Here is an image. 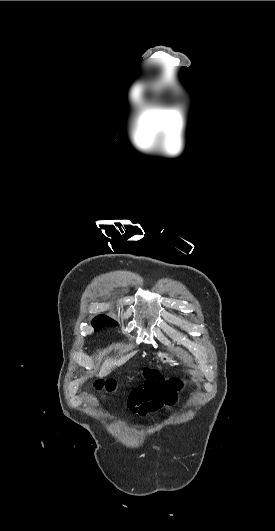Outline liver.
<instances>
[{
    "instance_id": "liver-1",
    "label": "liver",
    "mask_w": 275,
    "mask_h": 531,
    "mask_svg": "<svg viewBox=\"0 0 275 531\" xmlns=\"http://www.w3.org/2000/svg\"><path fill=\"white\" fill-rule=\"evenodd\" d=\"M136 351H133V353H129V355H126V357H121V359H118V361H113V359H106L104 361L97 377H107L109 373H111L112 369L114 367H120V365H124L126 361H129L133 355H135Z\"/></svg>"
}]
</instances>
